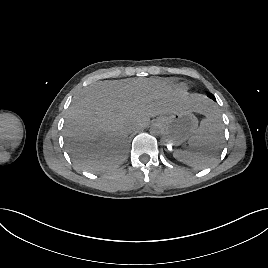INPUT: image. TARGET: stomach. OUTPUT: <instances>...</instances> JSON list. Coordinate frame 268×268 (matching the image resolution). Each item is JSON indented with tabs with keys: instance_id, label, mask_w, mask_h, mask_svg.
<instances>
[{
	"instance_id": "stomach-1",
	"label": "stomach",
	"mask_w": 268,
	"mask_h": 268,
	"mask_svg": "<svg viewBox=\"0 0 268 268\" xmlns=\"http://www.w3.org/2000/svg\"><path fill=\"white\" fill-rule=\"evenodd\" d=\"M157 124L161 127L166 141L173 145H179L195 134L198 120L192 111L183 109L157 118Z\"/></svg>"
}]
</instances>
